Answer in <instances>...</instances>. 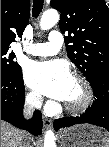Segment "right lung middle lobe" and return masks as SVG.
<instances>
[{"mask_svg": "<svg viewBox=\"0 0 109 147\" xmlns=\"http://www.w3.org/2000/svg\"><path fill=\"white\" fill-rule=\"evenodd\" d=\"M14 53H8V49L1 48V73L14 74L21 70L17 62H14Z\"/></svg>", "mask_w": 109, "mask_h": 147, "instance_id": "dd1d6c3e", "label": "right lung middle lobe"}]
</instances>
